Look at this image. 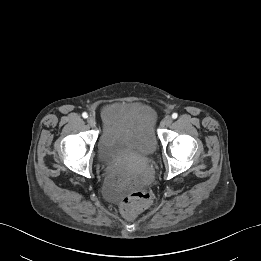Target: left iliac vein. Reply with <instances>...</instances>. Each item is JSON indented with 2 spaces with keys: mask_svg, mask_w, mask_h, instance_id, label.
<instances>
[{
  "mask_svg": "<svg viewBox=\"0 0 261 261\" xmlns=\"http://www.w3.org/2000/svg\"><path fill=\"white\" fill-rule=\"evenodd\" d=\"M171 123H172V117H171V116H166V117L164 118V120H163V124H164L165 126H170Z\"/></svg>",
  "mask_w": 261,
  "mask_h": 261,
  "instance_id": "obj_1",
  "label": "left iliac vein"
}]
</instances>
